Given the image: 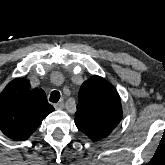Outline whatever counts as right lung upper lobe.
Masks as SVG:
<instances>
[{
  "instance_id": "cb5924a9",
  "label": "right lung upper lobe",
  "mask_w": 165,
  "mask_h": 165,
  "mask_svg": "<svg viewBox=\"0 0 165 165\" xmlns=\"http://www.w3.org/2000/svg\"><path fill=\"white\" fill-rule=\"evenodd\" d=\"M52 111L42 89L30 90L29 80L14 79L0 95V129L13 140H26Z\"/></svg>"
}]
</instances>
